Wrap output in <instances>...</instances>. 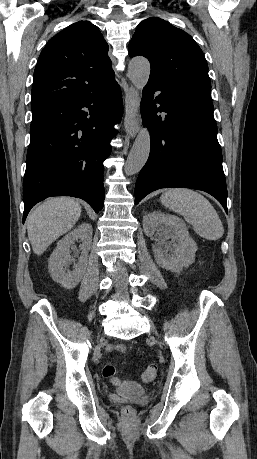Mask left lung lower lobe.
<instances>
[{
  "mask_svg": "<svg viewBox=\"0 0 257 459\" xmlns=\"http://www.w3.org/2000/svg\"><path fill=\"white\" fill-rule=\"evenodd\" d=\"M156 91L161 93L153 100ZM140 110L150 131L151 148L136 181L135 204L154 190L186 187L208 192L228 212L210 88L149 81ZM162 111L164 117L156 115Z\"/></svg>",
  "mask_w": 257,
  "mask_h": 459,
  "instance_id": "1",
  "label": "left lung lower lobe"
}]
</instances>
